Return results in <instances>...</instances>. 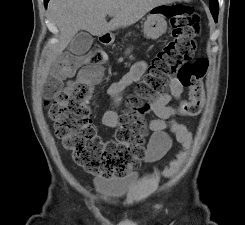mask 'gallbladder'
<instances>
[{
    "mask_svg": "<svg viewBox=\"0 0 245 225\" xmlns=\"http://www.w3.org/2000/svg\"><path fill=\"white\" fill-rule=\"evenodd\" d=\"M92 43L93 37L89 33L81 31L70 41L68 51L77 56H82L91 48Z\"/></svg>",
    "mask_w": 245,
    "mask_h": 225,
    "instance_id": "obj_1",
    "label": "gallbladder"
}]
</instances>
